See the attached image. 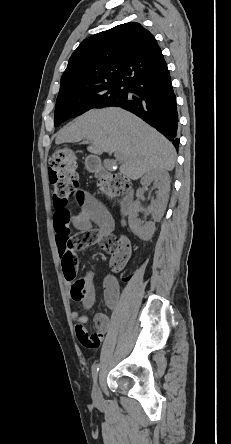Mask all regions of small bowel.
Here are the masks:
<instances>
[{"label":"small bowel","mask_w":231,"mask_h":444,"mask_svg":"<svg viewBox=\"0 0 231 444\" xmlns=\"http://www.w3.org/2000/svg\"><path fill=\"white\" fill-rule=\"evenodd\" d=\"M80 206V212L73 214L68 206V200H57L54 198V228L56 242L58 245L62 268L66 281L72 286L76 276V268L66 267L64 257L68 253L76 255L78 250L90 247H101L105 252L114 254L117 251L124 252L128 258L131 252L130 243L126 237L115 238L112 236L114 223L105 207L93 196L78 188L73 196ZM97 228L93 229L92 226ZM72 227L78 229L73 234ZM88 290L81 299L85 308L92 306L94 302L93 275L87 276ZM72 295V293H71ZM120 298V287L114 276H107L104 280V299L110 309H114ZM75 323V332L78 340L88 348L100 346L103 335L111 327V319L105 313H98L94 317L96 332L90 333L86 327L87 315L77 310L72 312Z\"/></svg>","instance_id":"1"}]
</instances>
